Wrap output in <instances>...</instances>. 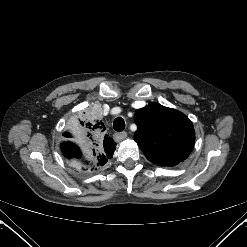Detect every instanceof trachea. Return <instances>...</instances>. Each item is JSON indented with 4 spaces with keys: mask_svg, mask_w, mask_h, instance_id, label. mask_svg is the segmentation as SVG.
Listing matches in <instances>:
<instances>
[{
    "mask_svg": "<svg viewBox=\"0 0 247 247\" xmlns=\"http://www.w3.org/2000/svg\"><path fill=\"white\" fill-rule=\"evenodd\" d=\"M113 128L117 132H121L125 129V122L123 118L117 117L113 122Z\"/></svg>",
    "mask_w": 247,
    "mask_h": 247,
    "instance_id": "3493384b",
    "label": "trachea"
}]
</instances>
